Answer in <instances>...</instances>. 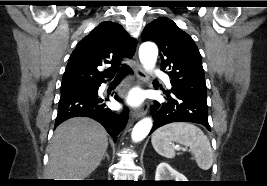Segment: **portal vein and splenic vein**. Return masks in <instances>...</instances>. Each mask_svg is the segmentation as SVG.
Here are the masks:
<instances>
[{"label": "portal vein and splenic vein", "instance_id": "1", "mask_svg": "<svg viewBox=\"0 0 267 186\" xmlns=\"http://www.w3.org/2000/svg\"><path fill=\"white\" fill-rule=\"evenodd\" d=\"M176 148H177L178 150H181V147H179L178 145L176 146Z\"/></svg>", "mask_w": 267, "mask_h": 186}]
</instances>
